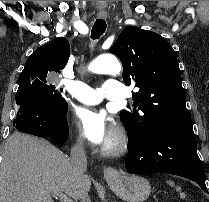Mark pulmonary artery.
Instances as JSON below:
<instances>
[{"label": "pulmonary artery", "mask_w": 209, "mask_h": 202, "mask_svg": "<svg viewBox=\"0 0 209 202\" xmlns=\"http://www.w3.org/2000/svg\"><path fill=\"white\" fill-rule=\"evenodd\" d=\"M70 93L80 102L85 104H98L103 96L109 100L120 101L125 98V93L118 79L107 78L104 80L102 88H93L81 81H76L73 85L67 84Z\"/></svg>", "instance_id": "pulmonary-artery-1"}]
</instances>
